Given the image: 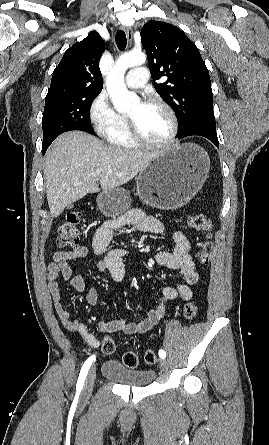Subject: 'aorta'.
<instances>
[{
    "label": "aorta",
    "mask_w": 269,
    "mask_h": 445,
    "mask_svg": "<svg viewBox=\"0 0 269 445\" xmlns=\"http://www.w3.org/2000/svg\"><path fill=\"white\" fill-rule=\"evenodd\" d=\"M145 62L146 55L136 51L125 53L117 59L106 80L107 91L116 111L127 112L139 104L138 96L126 88L124 74L128 68Z\"/></svg>",
    "instance_id": "762f6f07"
}]
</instances>
